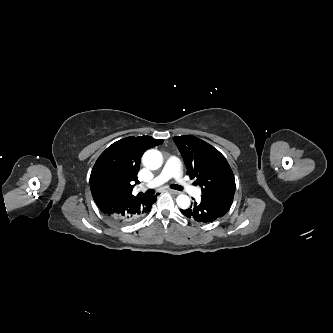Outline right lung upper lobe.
<instances>
[{
	"instance_id": "1",
	"label": "right lung upper lobe",
	"mask_w": 333,
	"mask_h": 333,
	"mask_svg": "<svg viewBox=\"0 0 333 333\" xmlns=\"http://www.w3.org/2000/svg\"><path fill=\"white\" fill-rule=\"evenodd\" d=\"M162 140L150 136H130L110 145L97 159L91 175L90 189L94 202L117 196L135 197L133 183H138L137 172L143 153Z\"/></svg>"
}]
</instances>
